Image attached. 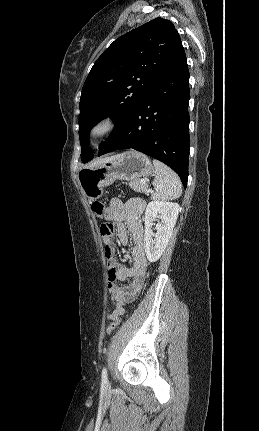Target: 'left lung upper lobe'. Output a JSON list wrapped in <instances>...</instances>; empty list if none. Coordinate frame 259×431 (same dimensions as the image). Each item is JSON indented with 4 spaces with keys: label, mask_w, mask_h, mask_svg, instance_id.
I'll return each instance as SVG.
<instances>
[{
    "label": "left lung upper lobe",
    "mask_w": 259,
    "mask_h": 431,
    "mask_svg": "<svg viewBox=\"0 0 259 431\" xmlns=\"http://www.w3.org/2000/svg\"><path fill=\"white\" fill-rule=\"evenodd\" d=\"M181 47L173 23L156 18L119 37L102 53L86 78L79 103L83 163L93 158L88 138L93 124L112 117L116 125L109 140Z\"/></svg>",
    "instance_id": "obj_1"
}]
</instances>
